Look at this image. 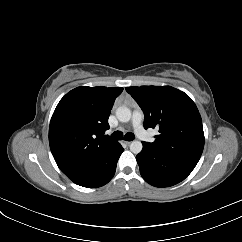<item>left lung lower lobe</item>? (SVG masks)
Segmentation results:
<instances>
[{
    "instance_id": "1",
    "label": "left lung lower lobe",
    "mask_w": 242,
    "mask_h": 242,
    "mask_svg": "<svg viewBox=\"0 0 242 242\" xmlns=\"http://www.w3.org/2000/svg\"><path fill=\"white\" fill-rule=\"evenodd\" d=\"M143 143L136 156L143 179L155 187H169L184 180L195 168V162L163 155Z\"/></svg>"
}]
</instances>
